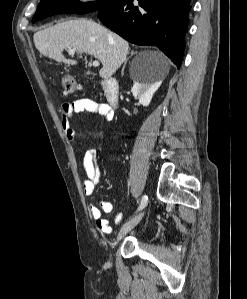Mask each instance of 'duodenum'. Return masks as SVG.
Wrapping results in <instances>:
<instances>
[{
    "instance_id": "duodenum-1",
    "label": "duodenum",
    "mask_w": 247,
    "mask_h": 299,
    "mask_svg": "<svg viewBox=\"0 0 247 299\" xmlns=\"http://www.w3.org/2000/svg\"><path fill=\"white\" fill-rule=\"evenodd\" d=\"M108 104L115 108L119 103V84L116 79L108 78L101 82Z\"/></svg>"
}]
</instances>
